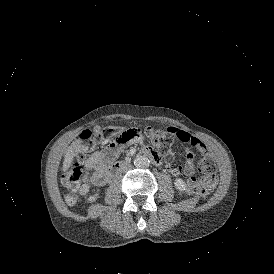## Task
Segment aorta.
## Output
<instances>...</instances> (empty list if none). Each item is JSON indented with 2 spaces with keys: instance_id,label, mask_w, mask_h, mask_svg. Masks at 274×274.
I'll list each match as a JSON object with an SVG mask.
<instances>
[{
  "instance_id": "obj_1",
  "label": "aorta",
  "mask_w": 274,
  "mask_h": 274,
  "mask_svg": "<svg viewBox=\"0 0 274 274\" xmlns=\"http://www.w3.org/2000/svg\"><path fill=\"white\" fill-rule=\"evenodd\" d=\"M149 164H150V161L146 156L140 155L134 159V165L137 168L144 169V168H147Z\"/></svg>"
}]
</instances>
